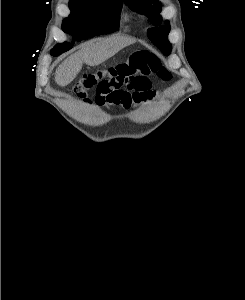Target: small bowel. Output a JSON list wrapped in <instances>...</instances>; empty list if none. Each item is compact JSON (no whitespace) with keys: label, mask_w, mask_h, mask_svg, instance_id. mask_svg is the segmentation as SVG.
<instances>
[{"label":"small bowel","mask_w":245,"mask_h":300,"mask_svg":"<svg viewBox=\"0 0 245 300\" xmlns=\"http://www.w3.org/2000/svg\"><path fill=\"white\" fill-rule=\"evenodd\" d=\"M153 96L151 82L146 75L137 77L130 85L125 84L119 77L108 76L96 85L94 102L99 108L107 105H120L125 109H130L151 100ZM81 97H86L85 91L81 93ZM85 102L90 101L85 98Z\"/></svg>","instance_id":"obj_1"}]
</instances>
